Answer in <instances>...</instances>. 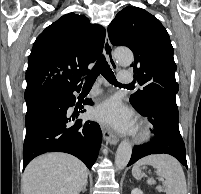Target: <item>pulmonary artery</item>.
<instances>
[{"label":"pulmonary artery","instance_id":"pulmonary-artery-1","mask_svg":"<svg viewBox=\"0 0 201 194\" xmlns=\"http://www.w3.org/2000/svg\"><path fill=\"white\" fill-rule=\"evenodd\" d=\"M133 75L129 71H121L118 73V80L123 84H129L133 81ZM98 92H95L93 95H97Z\"/></svg>","mask_w":201,"mask_h":194}]
</instances>
